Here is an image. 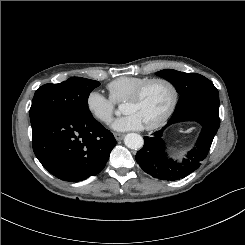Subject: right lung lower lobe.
Wrapping results in <instances>:
<instances>
[{
    "instance_id": "right-lung-lower-lobe-1",
    "label": "right lung lower lobe",
    "mask_w": 245,
    "mask_h": 245,
    "mask_svg": "<svg viewBox=\"0 0 245 245\" xmlns=\"http://www.w3.org/2000/svg\"><path fill=\"white\" fill-rule=\"evenodd\" d=\"M33 150L57 178L79 182L105 167L116 140L93 117L68 119L44 114L31 122Z\"/></svg>"
}]
</instances>
